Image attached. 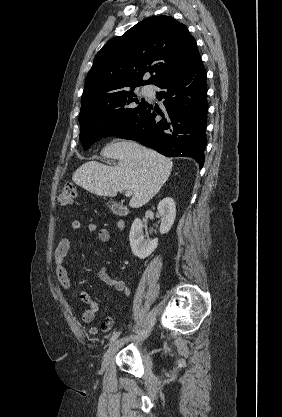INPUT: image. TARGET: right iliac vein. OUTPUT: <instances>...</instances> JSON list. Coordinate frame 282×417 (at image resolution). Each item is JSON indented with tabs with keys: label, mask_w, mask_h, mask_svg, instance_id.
Here are the masks:
<instances>
[{
	"label": "right iliac vein",
	"mask_w": 282,
	"mask_h": 417,
	"mask_svg": "<svg viewBox=\"0 0 282 417\" xmlns=\"http://www.w3.org/2000/svg\"><path fill=\"white\" fill-rule=\"evenodd\" d=\"M147 334V332H143V333H139L138 335L134 336V337H125L122 339H119L115 342H113L108 350L106 351V353L103 356V360H102V368L105 369L108 364L110 363V361L112 360V358L114 357V355L117 353V351L128 341L130 340H134L137 338H141L143 336H145Z\"/></svg>",
	"instance_id": "63e3f726"
}]
</instances>
